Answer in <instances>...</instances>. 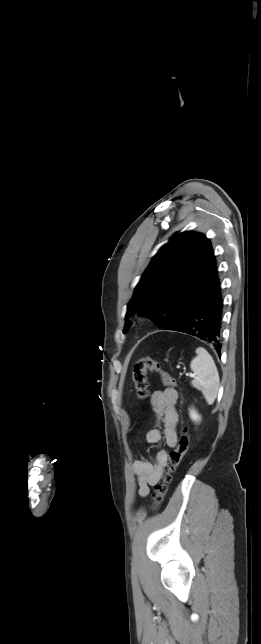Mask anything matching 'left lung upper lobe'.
<instances>
[{"label": "left lung upper lobe", "instance_id": "5c2ea615", "mask_svg": "<svg viewBox=\"0 0 261 644\" xmlns=\"http://www.w3.org/2000/svg\"><path fill=\"white\" fill-rule=\"evenodd\" d=\"M217 277L210 240L196 232L181 233L160 249L144 271L126 317L138 311L166 329L182 318ZM130 325L126 320L124 330Z\"/></svg>", "mask_w": 261, "mask_h": 644}]
</instances>
